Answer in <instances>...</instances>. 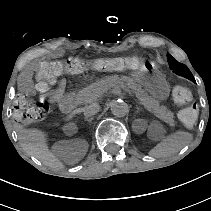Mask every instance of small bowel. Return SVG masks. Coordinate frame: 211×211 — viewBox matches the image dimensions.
I'll return each mask as SVG.
<instances>
[{
  "instance_id": "c3829d8e",
  "label": "small bowel",
  "mask_w": 211,
  "mask_h": 211,
  "mask_svg": "<svg viewBox=\"0 0 211 211\" xmlns=\"http://www.w3.org/2000/svg\"><path fill=\"white\" fill-rule=\"evenodd\" d=\"M62 52L61 51H55L49 53L42 61H32L29 64L26 65L20 79L19 87L21 91L25 93H33L34 86L32 84V74L34 71L41 65L42 62H44L48 58H57L61 57ZM65 88H66V82L62 79L57 82L56 86L47 93H44L42 95L43 99L46 101H49L51 103L57 104L60 103V101L64 98L65 94Z\"/></svg>"
}]
</instances>
